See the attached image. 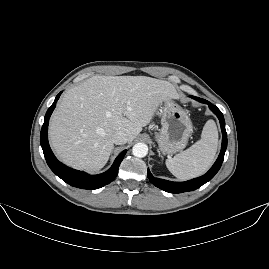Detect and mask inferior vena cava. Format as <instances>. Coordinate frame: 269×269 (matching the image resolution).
<instances>
[{"label":"inferior vena cava","instance_id":"inferior-vena-cava-1","mask_svg":"<svg viewBox=\"0 0 269 269\" xmlns=\"http://www.w3.org/2000/svg\"><path fill=\"white\" fill-rule=\"evenodd\" d=\"M128 140L127 133L122 130H117L112 135V141L116 145L125 144Z\"/></svg>","mask_w":269,"mask_h":269}]
</instances>
